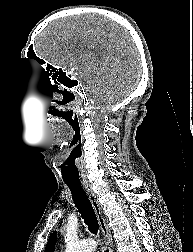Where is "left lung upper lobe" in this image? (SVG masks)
<instances>
[{
    "label": "left lung upper lobe",
    "mask_w": 193,
    "mask_h": 252,
    "mask_svg": "<svg viewBox=\"0 0 193 252\" xmlns=\"http://www.w3.org/2000/svg\"><path fill=\"white\" fill-rule=\"evenodd\" d=\"M55 238H56V232H53L49 238L45 252H53L54 251Z\"/></svg>",
    "instance_id": "1"
}]
</instances>
